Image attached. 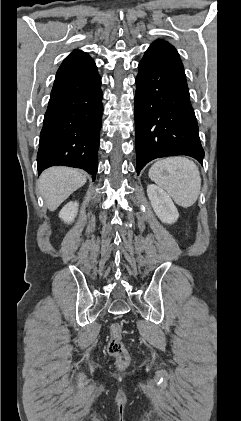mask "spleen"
I'll list each match as a JSON object with an SVG mask.
<instances>
[{"label": "spleen", "mask_w": 241, "mask_h": 421, "mask_svg": "<svg viewBox=\"0 0 241 421\" xmlns=\"http://www.w3.org/2000/svg\"><path fill=\"white\" fill-rule=\"evenodd\" d=\"M149 177L183 208L192 206L200 194L198 167L185 157H170L155 162L149 170Z\"/></svg>", "instance_id": "1"}]
</instances>
